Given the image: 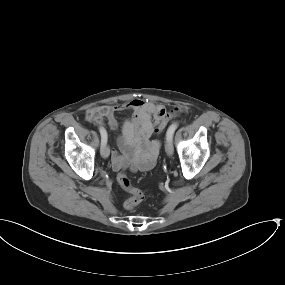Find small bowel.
<instances>
[{
	"label": "small bowel",
	"mask_w": 285,
	"mask_h": 285,
	"mask_svg": "<svg viewBox=\"0 0 285 285\" xmlns=\"http://www.w3.org/2000/svg\"><path fill=\"white\" fill-rule=\"evenodd\" d=\"M160 105L133 99L128 103L115 105H97L85 111V119L90 123H105L110 129L116 130L118 122L116 114L124 110L132 111V118L125 121L119 145L124 152L120 155L112 151L111 160L115 171L130 169L147 171L155 165L160 143L151 139L154 126L158 119Z\"/></svg>",
	"instance_id": "1"
}]
</instances>
